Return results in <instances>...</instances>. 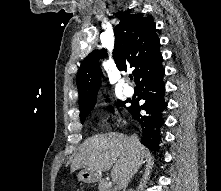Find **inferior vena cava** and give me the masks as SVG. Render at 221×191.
Returning <instances> with one entry per match:
<instances>
[{
  "instance_id": "1",
  "label": "inferior vena cava",
  "mask_w": 221,
  "mask_h": 191,
  "mask_svg": "<svg viewBox=\"0 0 221 191\" xmlns=\"http://www.w3.org/2000/svg\"><path fill=\"white\" fill-rule=\"evenodd\" d=\"M130 141H131L132 145L135 146V145L138 143L139 140H138L137 136L132 135V136L130 137ZM136 152H137V150H136V148H134V156H135ZM138 166H139L138 160H137L136 157H134L133 163H132V166H131V169H130V172H129V175H128V177L122 182V187H121V188L123 189V191H125V189H126V187H127V185H128V182L130 181V179L132 178V176L137 172Z\"/></svg>"
}]
</instances>
